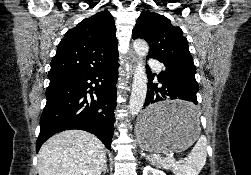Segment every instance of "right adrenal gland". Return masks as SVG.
Masks as SVG:
<instances>
[{
  "label": "right adrenal gland",
  "instance_id": "2a0ac1e0",
  "mask_svg": "<svg viewBox=\"0 0 251 175\" xmlns=\"http://www.w3.org/2000/svg\"><path fill=\"white\" fill-rule=\"evenodd\" d=\"M108 169H107V163L105 161L103 167H102V173H107Z\"/></svg>",
  "mask_w": 251,
  "mask_h": 175
}]
</instances>
